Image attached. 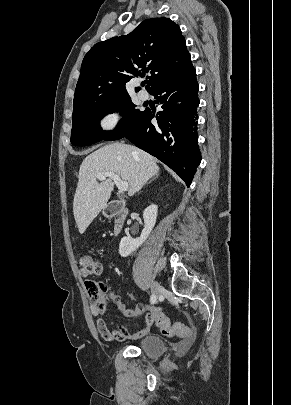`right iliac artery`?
Returning a JSON list of instances; mask_svg holds the SVG:
<instances>
[{
    "instance_id": "obj_1",
    "label": "right iliac artery",
    "mask_w": 291,
    "mask_h": 405,
    "mask_svg": "<svg viewBox=\"0 0 291 405\" xmlns=\"http://www.w3.org/2000/svg\"><path fill=\"white\" fill-rule=\"evenodd\" d=\"M150 302H151V304L156 302V297L153 294L150 297Z\"/></svg>"
}]
</instances>
